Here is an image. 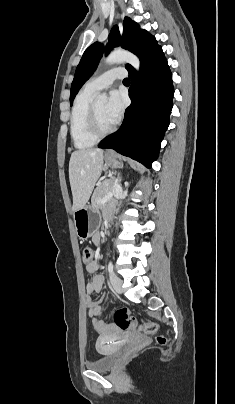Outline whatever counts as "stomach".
<instances>
[{"label":"stomach","mask_w":235,"mask_h":404,"mask_svg":"<svg viewBox=\"0 0 235 404\" xmlns=\"http://www.w3.org/2000/svg\"><path fill=\"white\" fill-rule=\"evenodd\" d=\"M105 166L119 168L122 164L117 156H106ZM73 218L76 234L82 240L89 238L97 230L101 220L98 210L90 205L76 210Z\"/></svg>","instance_id":"0dacf381"}]
</instances>
